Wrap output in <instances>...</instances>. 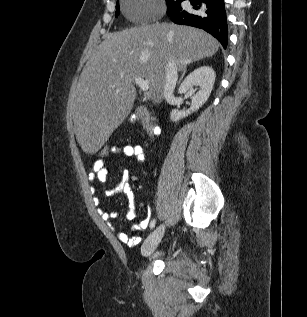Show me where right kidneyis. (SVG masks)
Returning a JSON list of instances; mask_svg holds the SVG:
<instances>
[{"label":"right kidney","mask_w":307,"mask_h":317,"mask_svg":"<svg viewBox=\"0 0 307 317\" xmlns=\"http://www.w3.org/2000/svg\"><path fill=\"white\" fill-rule=\"evenodd\" d=\"M215 77V72L210 66H201L191 72L180 85L178 93H187L195 86H199V91L192 96L191 107L188 110L173 109L170 119L174 122L179 121L201 108L211 94Z\"/></svg>","instance_id":"right-kidney-1"}]
</instances>
